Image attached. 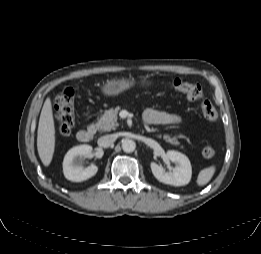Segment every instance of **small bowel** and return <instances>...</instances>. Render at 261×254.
I'll return each mask as SVG.
<instances>
[{"instance_id":"c3829d8e","label":"small bowel","mask_w":261,"mask_h":254,"mask_svg":"<svg viewBox=\"0 0 261 254\" xmlns=\"http://www.w3.org/2000/svg\"><path fill=\"white\" fill-rule=\"evenodd\" d=\"M143 120L147 125H170L180 122V118L177 115L156 109L145 110Z\"/></svg>"}]
</instances>
